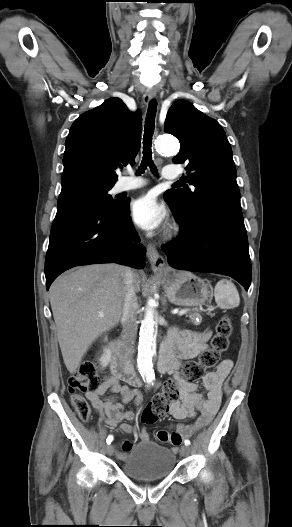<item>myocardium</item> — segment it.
I'll use <instances>...</instances> for the list:
<instances>
[{
	"label": "myocardium",
	"instance_id": "1",
	"mask_svg": "<svg viewBox=\"0 0 292 527\" xmlns=\"http://www.w3.org/2000/svg\"><path fill=\"white\" fill-rule=\"evenodd\" d=\"M173 234H174V230H170V231L168 232V235H169V236H171V235H173Z\"/></svg>",
	"mask_w": 292,
	"mask_h": 527
}]
</instances>
